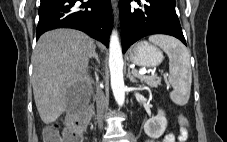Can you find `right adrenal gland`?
<instances>
[{
    "mask_svg": "<svg viewBox=\"0 0 227 142\" xmlns=\"http://www.w3.org/2000/svg\"><path fill=\"white\" fill-rule=\"evenodd\" d=\"M92 58H94V59L98 62V64H100L99 57H98V55H97V53H96L95 50H94V52H93V54H92L91 59H92ZM95 70H97V67L95 68Z\"/></svg>",
    "mask_w": 227,
    "mask_h": 142,
    "instance_id": "obj_1",
    "label": "right adrenal gland"
}]
</instances>
